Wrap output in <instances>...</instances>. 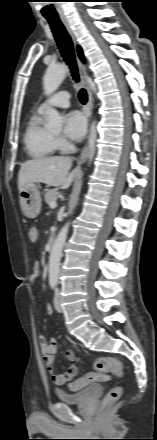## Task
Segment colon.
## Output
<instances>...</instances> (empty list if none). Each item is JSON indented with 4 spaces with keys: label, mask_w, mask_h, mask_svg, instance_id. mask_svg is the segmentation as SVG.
Segmentation results:
<instances>
[{
    "label": "colon",
    "mask_w": 157,
    "mask_h": 440,
    "mask_svg": "<svg viewBox=\"0 0 157 440\" xmlns=\"http://www.w3.org/2000/svg\"><path fill=\"white\" fill-rule=\"evenodd\" d=\"M28 237L32 243H36L39 239V230L35 226H31L28 230ZM95 372L88 373L83 377L70 381L68 387L72 391L80 390L93 382L104 381L108 378L109 373L122 376L124 372L122 362L114 357H102L95 363ZM122 394V387H113L103 398L102 406L108 407L115 403Z\"/></svg>",
    "instance_id": "5ec220e1"
}]
</instances>
